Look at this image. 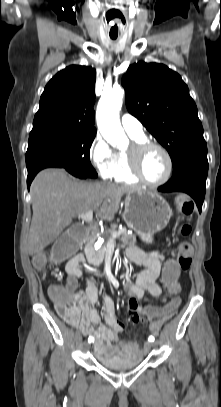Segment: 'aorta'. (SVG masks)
Listing matches in <instances>:
<instances>
[{"label": "aorta", "mask_w": 221, "mask_h": 407, "mask_svg": "<svg viewBox=\"0 0 221 407\" xmlns=\"http://www.w3.org/2000/svg\"><path fill=\"white\" fill-rule=\"evenodd\" d=\"M124 90L120 87L104 92L97 106L96 119L98 129L104 139L113 147L126 141L124 130L119 120Z\"/></svg>", "instance_id": "1"}]
</instances>
